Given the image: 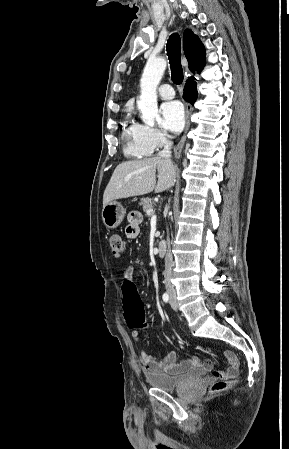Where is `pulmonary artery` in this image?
Wrapping results in <instances>:
<instances>
[{"instance_id": "obj_1", "label": "pulmonary artery", "mask_w": 289, "mask_h": 449, "mask_svg": "<svg viewBox=\"0 0 289 449\" xmlns=\"http://www.w3.org/2000/svg\"><path fill=\"white\" fill-rule=\"evenodd\" d=\"M158 94L163 99H172L175 95V92L171 85L163 84L159 86Z\"/></svg>"}]
</instances>
